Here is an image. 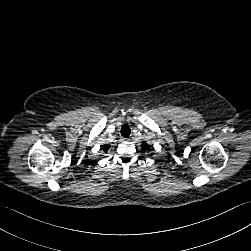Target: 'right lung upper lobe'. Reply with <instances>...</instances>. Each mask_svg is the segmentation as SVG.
I'll list each match as a JSON object with an SVG mask.
<instances>
[{"label":"right lung upper lobe","mask_w":251,"mask_h":251,"mask_svg":"<svg viewBox=\"0 0 251 251\" xmlns=\"http://www.w3.org/2000/svg\"><path fill=\"white\" fill-rule=\"evenodd\" d=\"M108 150V147H106V146H103V151H107Z\"/></svg>","instance_id":"obj_1"}]
</instances>
